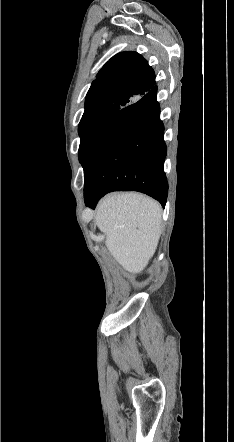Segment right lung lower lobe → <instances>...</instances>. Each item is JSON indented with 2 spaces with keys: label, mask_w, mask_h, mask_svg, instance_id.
<instances>
[{
  "label": "right lung lower lobe",
  "mask_w": 234,
  "mask_h": 442,
  "mask_svg": "<svg viewBox=\"0 0 234 442\" xmlns=\"http://www.w3.org/2000/svg\"><path fill=\"white\" fill-rule=\"evenodd\" d=\"M157 86L117 112L89 152L84 168L87 206L111 191H139L164 207L168 182L164 173L166 145Z\"/></svg>",
  "instance_id": "98d812e1"
}]
</instances>
